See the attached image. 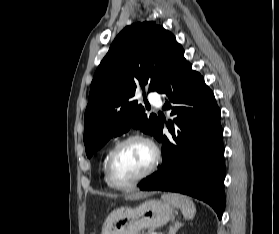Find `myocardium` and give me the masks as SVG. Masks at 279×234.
Returning a JSON list of instances; mask_svg holds the SVG:
<instances>
[{
    "instance_id": "1",
    "label": "myocardium",
    "mask_w": 279,
    "mask_h": 234,
    "mask_svg": "<svg viewBox=\"0 0 279 234\" xmlns=\"http://www.w3.org/2000/svg\"><path fill=\"white\" fill-rule=\"evenodd\" d=\"M133 141H140V142L147 144L152 150L153 159H152V162L150 163V165L148 166V168L137 178H135L129 182L119 183L114 179L113 174H112L113 162H114V159H115L117 153L120 151V149L122 147H124L126 144L133 142ZM160 161H161L160 151L152 140H150L149 138H147L145 136L139 135V134L130 135V136L124 138L123 140H121L120 142H118L115 145V147L111 150V152L108 156L107 162H106V168H105L106 179L113 188L120 189V190L128 189V188H131V187L139 184L144 179L148 178L155 171V169L157 168Z\"/></svg>"
}]
</instances>
